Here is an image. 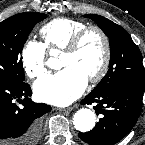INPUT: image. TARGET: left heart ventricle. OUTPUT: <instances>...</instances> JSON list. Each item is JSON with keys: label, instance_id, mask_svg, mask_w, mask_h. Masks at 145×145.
Returning a JSON list of instances; mask_svg holds the SVG:
<instances>
[{"label": "left heart ventricle", "instance_id": "b2bd125f", "mask_svg": "<svg viewBox=\"0 0 145 145\" xmlns=\"http://www.w3.org/2000/svg\"><path fill=\"white\" fill-rule=\"evenodd\" d=\"M103 59V44L100 37L89 33L74 53H63L60 59L62 68L73 66L83 73L87 79L99 70Z\"/></svg>", "mask_w": 145, "mask_h": 145}]
</instances>
